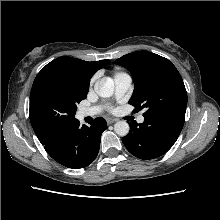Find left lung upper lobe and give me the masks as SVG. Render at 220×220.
<instances>
[{
  "mask_svg": "<svg viewBox=\"0 0 220 220\" xmlns=\"http://www.w3.org/2000/svg\"><path fill=\"white\" fill-rule=\"evenodd\" d=\"M127 68L134 79L135 89L129 101L144 115L186 109L187 92L176 67L168 59L148 51L129 53L115 60Z\"/></svg>",
  "mask_w": 220,
  "mask_h": 220,
  "instance_id": "5c2ea615",
  "label": "left lung upper lobe"
}]
</instances>
